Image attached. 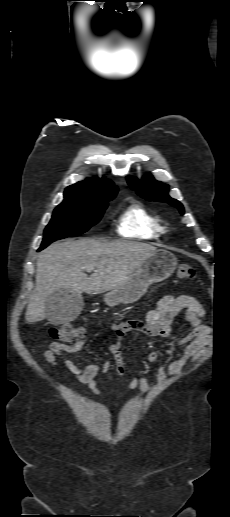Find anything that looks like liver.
<instances>
[{"label":"liver","instance_id":"6515ba94","mask_svg":"<svg viewBox=\"0 0 230 517\" xmlns=\"http://www.w3.org/2000/svg\"><path fill=\"white\" fill-rule=\"evenodd\" d=\"M156 247L131 241L107 242L91 238L54 243L38 256L36 287L25 314L28 323L47 317L45 303L57 290L100 294L122 286ZM93 266L88 277L85 267Z\"/></svg>","mask_w":230,"mask_h":517}]
</instances>
